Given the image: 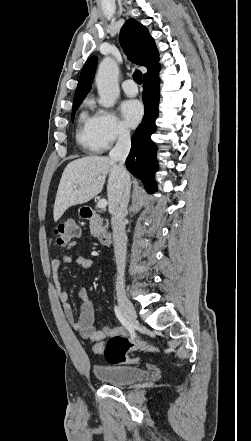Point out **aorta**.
I'll return each instance as SVG.
<instances>
[{"instance_id": "obj_1", "label": "aorta", "mask_w": 251, "mask_h": 441, "mask_svg": "<svg viewBox=\"0 0 251 441\" xmlns=\"http://www.w3.org/2000/svg\"><path fill=\"white\" fill-rule=\"evenodd\" d=\"M96 85L99 93V104L106 108L114 106L119 96L118 66L111 57H105L96 76Z\"/></svg>"}]
</instances>
